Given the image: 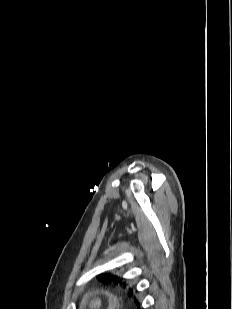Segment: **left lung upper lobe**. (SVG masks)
<instances>
[{
  "label": "left lung upper lobe",
  "instance_id": "left-lung-upper-lobe-1",
  "mask_svg": "<svg viewBox=\"0 0 232 309\" xmlns=\"http://www.w3.org/2000/svg\"><path fill=\"white\" fill-rule=\"evenodd\" d=\"M98 279L102 280L104 283H114V284H118V283H122L123 278L118 276V275H114L111 272H104L99 274ZM132 295V292H129V296Z\"/></svg>",
  "mask_w": 232,
  "mask_h": 309
}]
</instances>
